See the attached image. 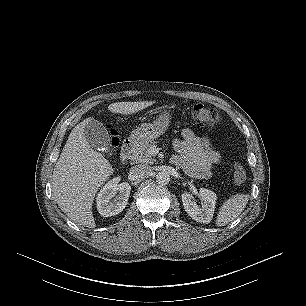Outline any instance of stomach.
I'll use <instances>...</instances> for the list:
<instances>
[{
    "mask_svg": "<svg viewBox=\"0 0 306 306\" xmlns=\"http://www.w3.org/2000/svg\"><path fill=\"white\" fill-rule=\"evenodd\" d=\"M171 113L162 112L153 123H145L133 130L129 140L134 144H148L162 135L169 126Z\"/></svg>",
    "mask_w": 306,
    "mask_h": 306,
    "instance_id": "obj_1",
    "label": "stomach"
}]
</instances>
